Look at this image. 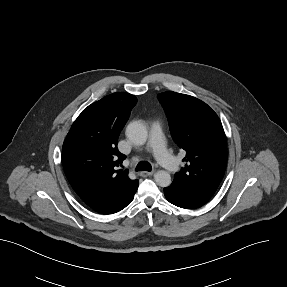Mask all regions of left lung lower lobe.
<instances>
[{"label": "left lung lower lobe", "mask_w": 287, "mask_h": 287, "mask_svg": "<svg viewBox=\"0 0 287 287\" xmlns=\"http://www.w3.org/2000/svg\"><path fill=\"white\" fill-rule=\"evenodd\" d=\"M164 194L170 203L185 209L199 208L212 197L191 186L174 182L169 187L164 188Z\"/></svg>", "instance_id": "0a47b994"}]
</instances>
